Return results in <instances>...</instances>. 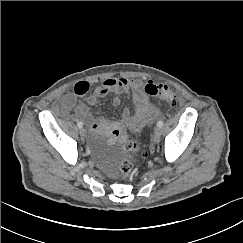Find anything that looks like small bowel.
<instances>
[{"label": "small bowel", "mask_w": 243, "mask_h": 243, "mask_svg": "<svg viewBox=\"0 0 243 243\" xmlns=\"http://www.w3.org/2000/svg\"><path fill=\"white\" fill-rule=\"evenodd\" d=\"M123 93L129 94L133 106L123 110L120 120L93 117L89 114L88 107L76 99L77 96H85L87 104L94 105L100 98L112 95L113 105L119 106ZM58 107L62 110L74 108L78 117L90 120L91 132L105 135L109 143L125 141L129 132L141 131L147 123L160 115V110L144 94L142 81L124 77L107 78L95 88L87 81H80L75 84L73 93L60 99Z\"/></svg>", "instance_id": "c3829d8e"}]
</instances>
